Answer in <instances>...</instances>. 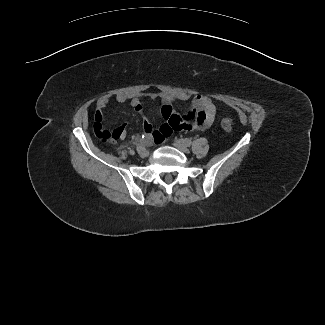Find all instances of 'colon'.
<instances>
[{"label": "colon", "mask_w": 325, "mask_h": 325, "mask_svg": "<svg viewBox=\"0 0 325 325\" xmlns=\"http://www.w3.org/2000/svg\"><path fill=\"white\" fill-rule=\"evenodd\" d=\"M222 128L230 132L232 130V121L229 118H224L221 121ZM94 132L100 141L104 143H111L119 139L120 133L118 130L114 129L109 131L103 128L102 124L95 122L94 123Z\"/></svg>", "instance_id": "obj_1"}]
</instances>
